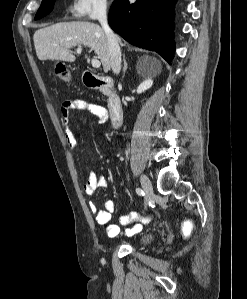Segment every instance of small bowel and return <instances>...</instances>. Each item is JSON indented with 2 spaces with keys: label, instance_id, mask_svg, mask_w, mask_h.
<instances>
[{
  "label": "small bowel",
  "instance_id": "obj_1",
  "mask_svg": "<svg viewBox=\"0 0 247 299\" xmlns=\"http://www.w3.org/2000/svg\"><path fill=\"white\" fill-rule=\"evenodd\" d=\"M72 110L86 111L93 116L99 122L106 121L108 117L107 110L95 103H91L82 99L66 100L61 106V118L64 123V135L66 141L72 148L77 147V140L73 131L68 126L69 114ZM108 186V180L104 176H99L95 172L90 171L88 177L84 182L82 188L86 195H92L97 188H105ZM89 209L94 215V219L99 226L104 228V231L109 237H116L120 234V227L118 224L111 223L112 214L115 211V202L108 199L104 202V209H99L94 202L89 203ZM151 217L141 216L137 212H131L127 215H123L119 218L120 225H126L131 221L140 220L141 223L136 224L133 228L126 230V235L131 236L138 233L142 229V223H148Z\"/></svg>",
  "mask_w": 247,
  "mask_h": 299
}]
</instances>
